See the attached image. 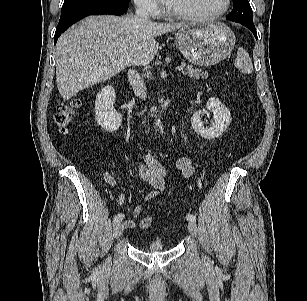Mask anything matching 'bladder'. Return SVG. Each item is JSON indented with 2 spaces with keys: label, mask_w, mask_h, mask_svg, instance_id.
I'll return each mask as SVG.
<instances>
[{
  "label": "bladder",
  "mask_w": 307,
  "mask_h": 301,
  "mask_svg": "<svg viewBox=\"0 0 307 301\" xmlns=\"http://www.w3.org/2000/svg\"><path fill=\"white\" fill-rule=\"evenodd\" d=\"M164 250L165 244L162 238H155L144 247V251L149 253H157Z\"/></svg>",
  "instance_id": "obj_1"
}]
</instances>
